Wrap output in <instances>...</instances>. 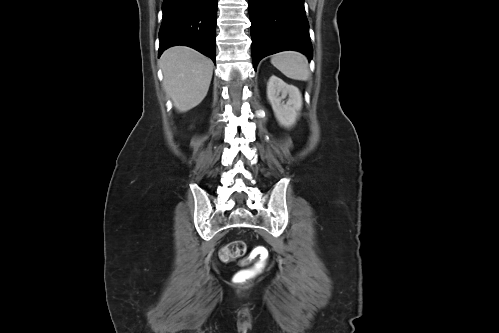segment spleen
<instances>
[{
	"mask_svg": "<svg viewBox=\"0 0 499 333\" xmlns=\"http://www.w3.org/2000/svg\"><path fill=\"white\" fill-rule=\"evenodd\" d=\"M271 63L285 76L294 80L307 81L310 76L307 58L295 51H284L271 57Z\"/></svg>",
	"mask_w": 499,
	"mask_h": 333,
	"instance_id": "obj_1",
	"label": "spleen"
}]
</instances>
